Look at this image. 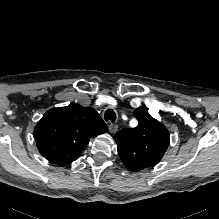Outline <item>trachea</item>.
Here are the masks:
<instances>
[{"mask_svg":"<svg viewBox=\"0 0 219 219\" xmlns=\"http://www.w3.org/2000/svg\"><path fill=\"white\" fill-rule=\"evenodd\" d=\"M105 121H111L112 123L116 120V113L113 109H107L104 114Z\"/></svg>","mask_w":219,"mask_h":219,"instance_id":"3493384b","label":"trachea"}]
</instances>
